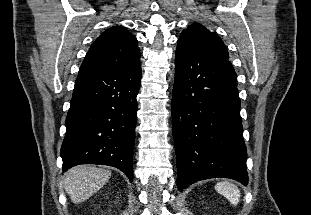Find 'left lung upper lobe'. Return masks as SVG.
Returning a JSON list of instances; mask_svg holds the SVG:
<instances>
[{
  "mask_svg": "<svg viewBox=\"0 0 311 215\" xmlns=\"http://www.w3.org/2000/svg\"><path fill=\"white\" fill-rule=\"evenodd\" d=\"M180 37L202 44L214 52L229 58L228 50L219 36L216 33L209 31L201 24H191L187 29L182 31Z\"/></svg>",
  "mask_w": 311,
  "mask_h": 215,
  "instance_id": "1",
  "label": "left lung upper lobe"
}]
</instances>
